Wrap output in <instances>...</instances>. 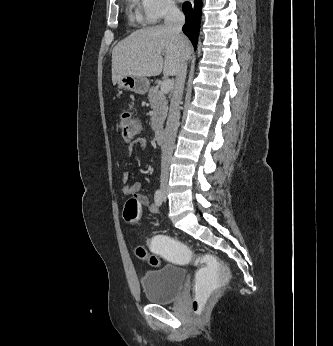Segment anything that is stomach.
I'll use <instances>...</instances> for the list:
<instances>
[{
  "label": "stomach",
  "mask_w": 333,
  "mask_h": 346,
  "mask_svg": "<svg viewBox=\"0 0 333 346\" xmlns=\"http://www.w3.org/2000/svg\"><path fill=\"white\" fill-rule=\"evenodd\" d=\"M117 84L119 89L129 90L140 95H144L149 89V80L140 76H123Z\"/></svg>",
  "instance_id": "0dacf381"
}]
</instances>
